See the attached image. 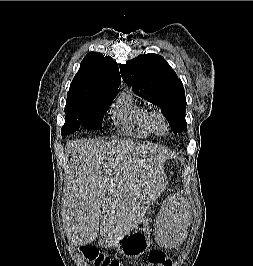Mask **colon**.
<instances>
[{"label":"colon","mask_w":253,"mask_h":266,"mask_svg":"<svg viewBox=\"0 0 253 266\" xmlns=\"http://www.w3.org/2000/svg\"><path fill=\"white\" fill-rule=\"evenodd\" d=\"M83 258L93 266H122L119 260L101 254L95 247L87 244L79 246ZM150 266H172L171 258L163 251H151L148 255Z\"/></svg>","instance_id":"obj_1"}]
</instances>
